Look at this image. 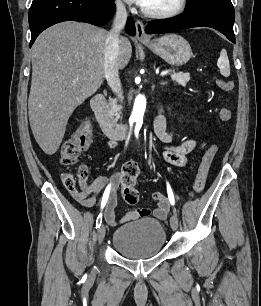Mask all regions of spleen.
<instances>
[{"label":"spleen","instance_id":"obj_1","mask_svg":"<svg viewBox=\"0 0 261 306\" xmlns=\"http://www.w3.org/2000/svg\"><path fill=\"white\" fill-rule=\"evenodd\" d=\"M217 66L220 69V73L224 77H228L230 75V65H229V59L227 56V53L225 50H222L220 53V57L217 61Z\"/></svg>","mask_w":261,"mask_h":306}]
</instances>
